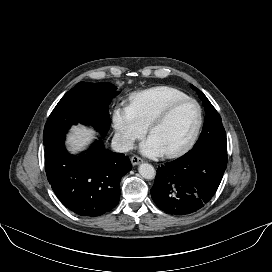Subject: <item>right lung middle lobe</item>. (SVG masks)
<instances>
[{
    "mask_svg": "<svg viewBox=\"0 0 272 272\" xmlns=\"http://www.w3.org/2000/svg\"><path fill=\"white\" fill-rule=\"evenodd\" d=\"M119 94L110 83L80 82L68 91L50 114L43 133L44 145L77 123L92 125L102 135L110 128L109 104Z\"/></svg>",
    "mask_w": 272,
    "mask_h": 272,
    "instance_id": "dd1d6c3e",
    "label": "right lung middle lobe"
}]
</instances>
